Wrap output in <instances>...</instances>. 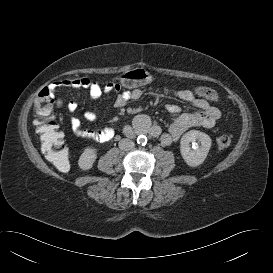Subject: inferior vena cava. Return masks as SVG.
<instances>
[{"label": "inferior vena cava", "mask_w": 273, "mask_h": 273, "mask_svg": "<svg viewBox=\"0 0 273 273\" xmlns=\"http://www.w3.org/2000/svg\"><path fill=\"white\" fill-rule=\"evenodd\" d=\"M119 148L124 151H129L134 148V142L127 138L121 139L119 141Z\"/></svg>", "instance_id": "602c4592"}]
</instances>
